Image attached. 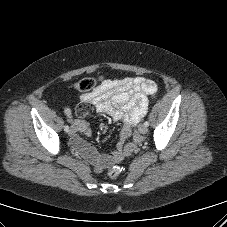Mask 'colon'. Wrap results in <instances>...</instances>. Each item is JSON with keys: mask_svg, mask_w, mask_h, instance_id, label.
<instances>
[{"mask_svg": "<svg viewBox=\"0 0 227 227\" xmlns=\"http://www.w3.org/2000/svg\"><path fill=\"white\" fill-rule=\"evenodd\" d=\"M97 85V79L93 77H86L79 80L75 84V88L80 92H90L92 91ZM121 173V168L117 165L112 166L108 170V175L110 178H117Z\"/></svg>", "mask_w": 227, "mask_h": 227, "instance_id": "1", "label": "colon"}]
</instances>
